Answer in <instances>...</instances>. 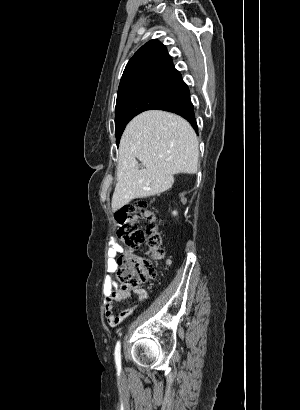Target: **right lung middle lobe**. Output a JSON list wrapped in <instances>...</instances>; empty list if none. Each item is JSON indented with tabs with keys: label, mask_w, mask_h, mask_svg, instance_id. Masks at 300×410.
<instances>
[{
	"label": "right lung middle lobe",
	"mask_w": 300,
	"mask_h": 410,
	"mask_svg": "<svg viewBox=\"0 0 300 410\" xmlns=\"http://www.w3.org/2000/svg\"><path fill=\"white\" fill-rule=\"evenodd\" d=\"M187 88L184 82L139 83L117 93L115 134L117 145L127 123L137 114L159 109L177 99Z\"/></svg>",
	"instance_id": "right-lung-middle-lobe-1"
}]
</instances>
